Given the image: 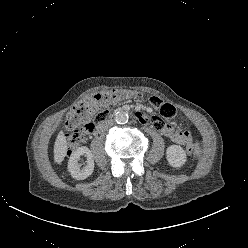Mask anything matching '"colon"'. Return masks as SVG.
Wrapping results in <instances>:
<instances>
[{
	"label": "colon",
	"instance_id": "5ec220e1",
	"mask_svg": "<svg viewBox=\"0 0 248 248\" xmlns=\"http://www.w3.org/2000/svg\"><path fill=\"white\" fill-rule=\"evenodd\" d=\"M132 93L124 90H111L98 93L76 104L66 118V127L69 133L66 135L68 153H73L83 142L87 135L95 130V124L106 119L108 107L114 102L131 96ZM190 155L198 152V147L189 142L186 147Z\"/></svg>",
	"mask_w": 248,
	"mask_h": 248
}]
</instances>
